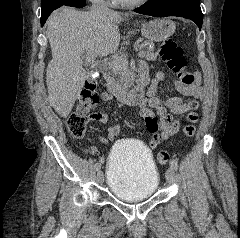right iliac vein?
<instances>
[{
	"label": "right iliac vein",
	"mask_w": 240,
	"mask_h": 238,
	"mask_svg": "<svg viewBox=\"0 0 240 238\" xmlns=\"http://www.w3.org/2000/svg\"><path fill=\"white\" fill-rule=\"evenodd\" d=\"M97 181L99 184H103L104 182V175L103 172L100 170L97 172Z\"/></svg>",
	"instance_id": "obj_1"
}]
</instances>
